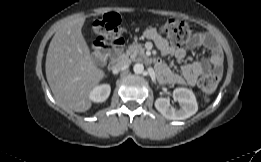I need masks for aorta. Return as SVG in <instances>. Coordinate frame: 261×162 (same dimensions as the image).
<instances>
[{
	"mask_svg": "<svg viewBox=\"0 0 261 162\" xmlns=\"http://www.w3.org/2000/svg\"><path fill=\"white\" fill-rule=\"evenodd\" d=\"M133 71L135 74H142L144 71V66L141 63H136L133 67Z\"/></svg>",
	"mask_w": 261,
	"mask_h": 162,
	"instance_id": "obj_1",
	"label": "aorta"
}]
</instances>
